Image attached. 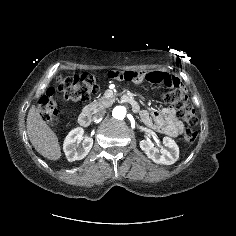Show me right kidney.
I'll return each mask as SVG.
<instances>
[{
	"label": "right kidney",
	"mask_w": 236,
	"mask_h": 236,
	"mask_svg": "<svg viewBox=\"0 0 236 236\" xmlns=\"http://www.w3.org/2000/svg\"><path fill=\"white\" fill-rule=\"evenodd\" d=\"M83 134V128L77 127L71 130L66 136L63 150L69 162L85 158L91 150L93 146V138L90 136H83ZM82 140V146H79Z\"/></svg>",
	"instance_id": "obj_1"
}]
</instances>
